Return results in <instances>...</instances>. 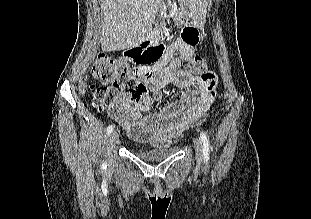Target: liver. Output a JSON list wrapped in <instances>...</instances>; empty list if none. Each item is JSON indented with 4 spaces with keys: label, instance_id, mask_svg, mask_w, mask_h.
<instances>
[{
    "label": "liver",
    "instance_id": "6515ba94",
    "mask_svg": "<svg viewBox=\"0 0 311 219\" xmlns=\"http://www.w3.org/2000/svg\"><path fill=\"white\" fill-rule=\"evenodd\" d=\"M101 48L105 52L139 46L148 39L162 0H100ZM191 18L202 20L208 0H178Z\"/></svg>",
    "mask_w": 311,
    "mask_h": 219
}]
</instances>
